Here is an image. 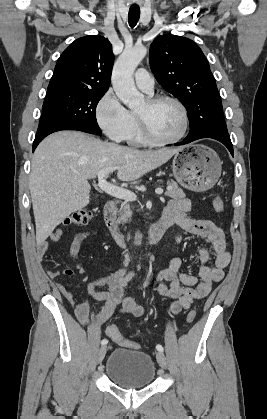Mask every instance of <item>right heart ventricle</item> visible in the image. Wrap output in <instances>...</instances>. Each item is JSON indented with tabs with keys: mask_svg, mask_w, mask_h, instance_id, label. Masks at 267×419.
<instances>
[{
	"mask_svg": "<svg viewBox=\"0 0 267 419\" xmlns=\"http://www.w3.org/2000/svg\"><path fill=\"white\" fill-rule=\"evenodd\" d=\"M131 117H132V128H131L126 140L131 145L147 144L148 142L143 137V135L141 134V131L139 129V125H138V122H137V119H136V115L134 113H131Z\"/></svg>",
	"mask_w": 267,
	"mask_h": 419,
	"instance_id": "e07e8e85",
	"label": "right heart ventricle"
}]
</instances>
